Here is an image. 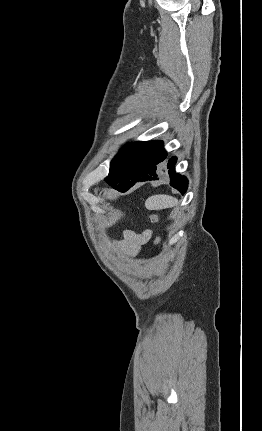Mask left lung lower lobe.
<instances>
[{
    "label": "left lung lower lobe",
    "mask_w": 262,
    "mask_h": 431,
    "mask_svg": "<svg viewBox=\"0 0 262 431\" xmlns=\"http://www.w3.org/2000/svg\"><path fill=\"white\" fill-rule=\"evenodd\" d=\"M167 158V153L163 149L161 141L147 142L140 147L130 166L132 174L129 181L122 186L115 188L120 192L127 191L135 182L139 180H158L159 164ZM177 158L172 157L167 163V173L170 176V185L184 194L188 188V180L175 171Z\"/></svg>",
    "instance_id": "obj_1"
}]
</instances>
